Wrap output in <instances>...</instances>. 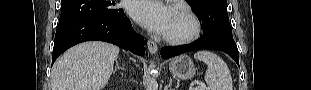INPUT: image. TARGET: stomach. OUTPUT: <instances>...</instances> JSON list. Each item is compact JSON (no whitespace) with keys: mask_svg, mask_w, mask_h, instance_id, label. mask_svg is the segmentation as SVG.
<instances>
[{"mask_svg":"<svg viewBox=\"0 0 311 90\" xmlns=\"http://www.w3.org/2000/svg\"><path fill=\"white\" fill-rule=\"evenodd\" d=\"M169 70L174 77L182 80L191 79L196 73L193 61L187 55L174 58L169 64Z\"/></svg>","mask_w":311,"mask_h":90,"instance_id":"obj_1","label":"stomach"}]
</instances>
